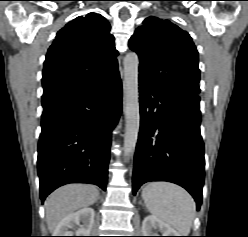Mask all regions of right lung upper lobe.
Listing matches in <instances>:
<instances>
[{
	"label": "right lung upper lobe",
	"mask_w": 248,
	"mask_h": 237,
	"mask_svg": "<svg viewBox=\"0 0 248 237\" xmlns=\"http://www.w3.org/2000/svg\"><path fill=\"white\" fill-rule=\"evenodd\" d=\"M108 21L96 13L79 16L58 31L43 68V96L85 86L118 70Z\"/></svg>",
	"instance_id": "1"
}]
</instances>
